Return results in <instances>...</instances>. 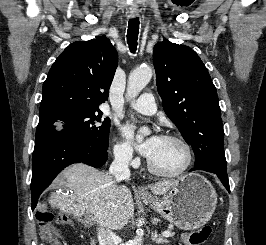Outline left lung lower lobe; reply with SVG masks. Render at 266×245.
I'll use <instances>...</instances> for the list:
<instances>
[{"label": "left lung lower lobe", "instance_id": "0a47b994", "mask_svg": "<svg viewBox=\"0 0 266 245\" xmlns=\"http://www.w3.org/2000/svg\"><path fill=\"white\" fill-rule=\"evenodd\" d=\"M195 170H204V171L216 174L218 176V178L221 180L222 184L228 190V192H230V187H229V181H228L227 173H220V172H216V171L210 170L208 168H200V167H195V168L191 169L190 171H195Z\"/></svg>", "mask_w": 266, "mask_h": 245}]
</instances>
